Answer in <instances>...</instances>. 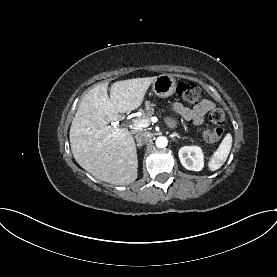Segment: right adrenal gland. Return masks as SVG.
Returning <instances> with one entry per match:
<instances>
[{
    "mask_svg": "<svg viewBox=\"0 0 277 277\" xmlns=\"http://www.w3.org/2000/svg\"><path fill=\"white\" fill-rule=\"evenodd\" d=\"M142 146V144H137V147L139 148V147H141Z\"/></svg>",
    "mask_w": 277,
    "mask_h": 277,
    "instance_id": "1",
    "label": "right adrenal gland"
}]
</instances>
